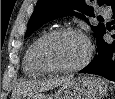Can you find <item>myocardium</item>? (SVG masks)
Wrapping results in <instances>:
<instances>
[{
    "label": "myocardium",
    "instance_id": "f54148a6",
    "mask_svg": "<svg viewBox=\"0 0 115 99\" xmlns=\"http://www.w3.org/2000/svg\"><path fill=\"white\" fill-rule=\"evenodd\" d=\"M64 34H73L81 37L87 47V52L84 57V59L79 62L76 65L73 66H57L51 63L46 55H45V46L46 44L53 38L64 35ZM92 53H93V48L91 45V42L89 39L86 37V35L80 31L79 29L72 28V27H62V28H57L54 30H51L44 34L40 40L37 43L36 50H35V56L38 64L47 72L51 73H69V72H75L78 70L83 69L85 66H87L92 58Z\"/></svg>",
    "mask_w": 115,
    "mask_h": 99
}]
</instances>
